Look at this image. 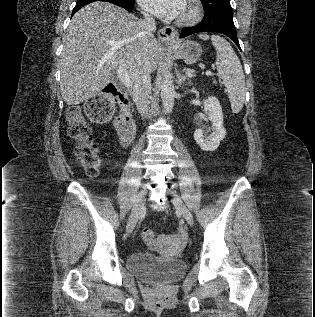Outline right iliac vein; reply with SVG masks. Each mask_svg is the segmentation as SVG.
I'll return each instance as SVG.
<instances>
[{
	"label": "right iliac vein",
	"instance_id": "obj_1",
	"mask_svg": "<svg viewBox=\"0 0 315 317\" xmlns=\"http://www.w3.org/2000/svg\"><path fill=\"white\" fill-rule=\"evenodd\" d=\"M146 194H147V190L144 188L138 193V195L135 199V202H134V205L132 208V212H131V215L129 217L128 223H127V232L128 233H131L136 226L138 216H139V214L142 210V207L144 205V200H145Z\"/></svg>",
	"mask_w": 315,
	"mask_h": 317
}]
</instances>
